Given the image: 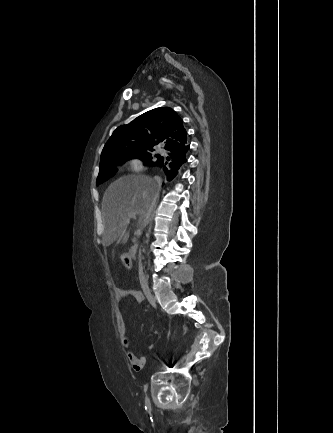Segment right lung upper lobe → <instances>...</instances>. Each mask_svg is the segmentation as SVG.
Returning <instances> with one entry per match:
<instances>
[{
  "instance_id": "obj_1",
  "label": "right lung upper lobe",
  "mask_w": 333,
  "mask_h": 433,
  "mask_svg": "<svg viewBox=\"0 0 333 433\" xmlns=\"http://www.w3.org/2000/svg\"><path fill=\"white\" fill-rule=\"evenodd\" d=\"M162 142L168 151L188 143L182 119L168 107L152 109L118 127L105 144L101 160L125 151L153 149Z\"/></svg>"
}]
</instances>
